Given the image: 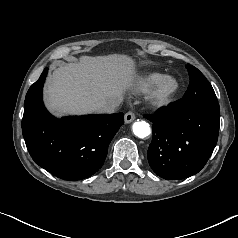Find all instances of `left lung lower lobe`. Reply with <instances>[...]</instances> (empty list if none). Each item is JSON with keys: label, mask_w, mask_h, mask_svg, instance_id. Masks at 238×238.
<instances>
[{"label": "left lung lower lobe", "mask_w": 238, "mask_h": 238, "mask_svg": "<svg viewBox=\"0 0 238 238\" xmlns=\"http://www.w3.org/2000/svg\"><path fill=\"white\" fill-rule=\"evenodd\" d=\"M220 108L204 103L180 110L174 102L146 116L153 123L148 162L167 180H180L198 173L211 156L219 132Z\"/></svg>", "instance_id": "left-lung-lower-lobe-1"}]
</instances>
